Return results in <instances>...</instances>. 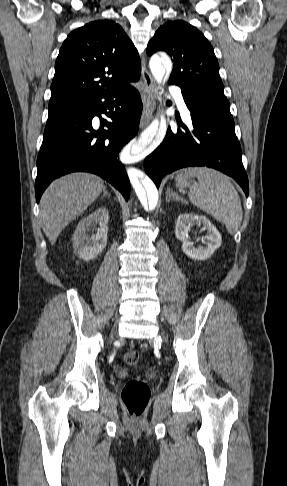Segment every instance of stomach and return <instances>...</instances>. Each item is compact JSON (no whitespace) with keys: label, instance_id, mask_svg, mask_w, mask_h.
I'll list each match as a JSON object with an SVG mask.
<instances>
[{"label":"stomach","instance_id":"0dacf381","mask_svg":"<svg viewBox=\"0 0 287 486\" xmlns=\"http://www.w3.org/2000/svg\"><path fill=\"white\" fill-rule=\"evenodd\" d=\"M176 186L179 189L186 188L190 185V176L187 173H179L176 178Z\"/></svg>","mask_w":287,"mask_h":486}]
</instances>
